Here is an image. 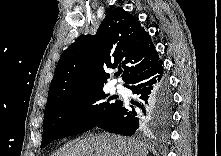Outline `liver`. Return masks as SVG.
Listing matches in <instances>:
<instances>
[{"instance_id":"1","label":"liver","mask_w":221,"mask_h":156,"mask_svg":"<svg viewBox=\"0 0 221 156\" xmlns=\"http://www.w3.org/2000/svg\"><path fill=\"white\" fill-rule=\"evenodd\" d=\"M148 145L120 135H91L68 142L54 156H146Z\"/></svg>"}]
</instances>
